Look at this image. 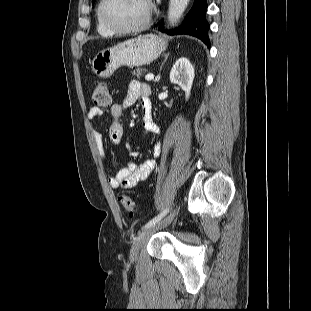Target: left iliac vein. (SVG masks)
Here are the masks:
<instances>
[{"mask_svg": "<svg viewBox=\"0 0 311 311\" xmlns=\"http://www.w3.org/2000/svg\"><path fill=\"white\" fill-rule=\"evenodd\" d=\"M179 211V207H176L167 217H165L163 220L155 223L154 225L146 228L137 238V240L133 243L131 250H130V259L132 261L136 260L139 251L143 247V245L147 242V240L150 238V236L155 233L158 230H161L163 228H166L175 216L177 215Z\"/></svg>", "mask_w": 311, "mask_h": 311, "instance_id": "4c4485c4", "label": "left iliac vein"}]
</instances>
